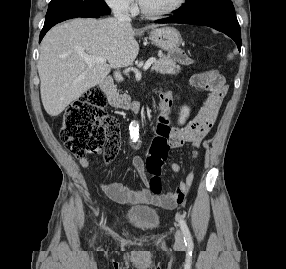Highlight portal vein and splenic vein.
<instances>
[{"mask_svg": "<svg viewBox=\"0 0 286 269\" xmlns=\"http://www.w3.org/2000/svg\"><path fill=\"white\" fill-rule=\"evenodd\" d=\"M82 58L86 61V63H104L105 60L101 56L95 55H82ZM156 62V59L151 58L149 59L143 66L144 70H147L153 63Z\"/></svg>", "mask_w": 286, "mask_h": 269, "instance_id": "1", "label": "portal vein and splenic vein"}]
</instances>
